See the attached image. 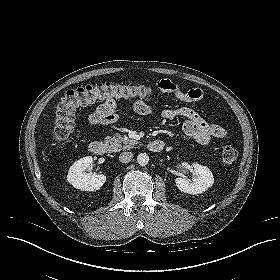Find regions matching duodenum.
Returning <instances> with one entry per match:
<instances>
[{"label":"duodenum","mask_w":280,"mask_h":280,"mask_svg":"<svg viewBox=\"0 0 280 280\" xmlns=\"http://www.w3.org/2000/svg\"><path fill=\"white\" fill-rule=\"evenodd\" d=\"M147 148L152 153H160L164 149V143L161 140H151ZM89 151L95 155H105L109 151L108 145L100 140H94L89 144Z\"/></svg>","instance_id":"410a0bca"}]
</instances>
